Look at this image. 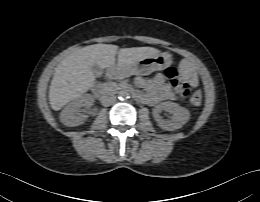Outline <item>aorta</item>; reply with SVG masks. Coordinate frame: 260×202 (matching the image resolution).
Segmentation results:
<instances>
[{
    "instance_id": "aorta-1",
    "label": "aorta",
    "mask_w": 260,
    "mask_h": 202,
    "mask_svg": "<svg viewBox=\"0 0 260 202\" xmlns=\"http://www.w3.org/2000/svg\"><path fill=\"white\" fill-rule=\"evenodd\" d=\"M127 98H129V93L127 91H121L119 93V99L124 100V99H127Z\"/></svg>"
}]
</instances>
